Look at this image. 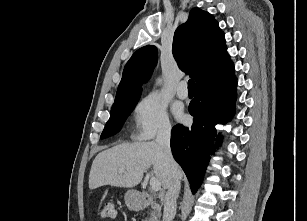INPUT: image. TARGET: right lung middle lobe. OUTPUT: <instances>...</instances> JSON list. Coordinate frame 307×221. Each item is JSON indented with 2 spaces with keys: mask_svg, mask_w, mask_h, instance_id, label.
<instances>
[{
  "mask_svg": "<svg viewBox=\"0 0 307 221\" xmlns=\"http://www.w3.org/2000/svg\"><path fill=\"white\" fill-rule=\"evenodd\" d=\"M140 95L141 94H138L113 104L110 118L107 121L106 126L101 134V139L110 137L120 130L127 116H129L139 101Z\"/></svg>",
  "mask_w": 307,
  "mask_h": 221,
  "instance_id": "1",
  "label": "right lung middle lobe"
}]
</instances>
